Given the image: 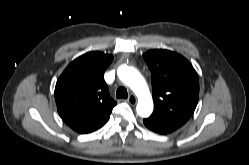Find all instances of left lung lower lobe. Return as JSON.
Returning <instances> with one entry per match:
<instances>
[{
    "mask_svg": "<svg viewBox=\"0 0 249 165\" xmlns=\"http://www.w3.org/2000/svg\"><path fill=\"white\" fill-rule=\"evenodd\" d=\"M143 122L147 128L159 134L171 133L183 125L178 122L160 119V118L153 117V116H150L149 118L144 119Z\"/></svg>",
    "mask_w": 249,
    "mask_h": 165,
    "instance_id": "obj_1",
    "label": "left lung lower lobe"
}]
</instances>
